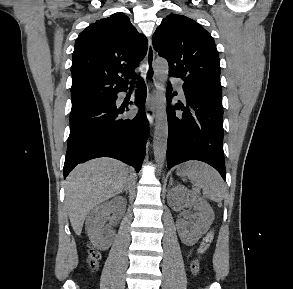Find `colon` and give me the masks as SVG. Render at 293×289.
<instances>
[{
    "mask_svg": "<svg viewBox=\"0 0 293 289\" xmlns=\"http://www.w3.org/2000/svg\"><path fill=\"white\" fill-rule=\"evenodd\" d=\"M214 239V231L210 230L202 239L199 248L197 250V256L193 259L191 262V270L194 273L199 272V264H200V258L202 254H204L207 249L210 247ZM100 259L99 252L94 248H89L87 252V263L90 266L91 269H96L98 265V261Z\"/></svg>",
    "mask_w": 293,
    "mask_h": 289,
    "instance_id": "1",
    "label": "colon"
}]
</instances>
